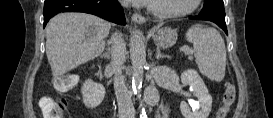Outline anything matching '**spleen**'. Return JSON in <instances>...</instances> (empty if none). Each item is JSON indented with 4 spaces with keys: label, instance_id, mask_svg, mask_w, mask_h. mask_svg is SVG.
<instances>
[{
    "label": "spleen",
    "instance_id": "1",
    "mask_svg": "<svg viewBox=\"0 0 273 118\" xmlns=\"http://www.w3.org/2000/svg\"><path fill=\"white\" fill-rule=\"evenodd\" d=\"M186 39L193 44L200 72L210 80L222 81L226 69V48L220 33L214 28L196 24L188 29Z\"/></svg>",
    "mask_w": 273,
    "mask_h": 118
}]
</instances>
